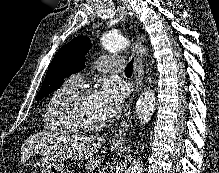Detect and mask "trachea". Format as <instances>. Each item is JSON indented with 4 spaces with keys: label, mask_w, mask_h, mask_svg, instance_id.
Listing matches in <instances>:
<instances>
[{
    "label": "trachea",
    "mask_w": 219,
    "mask_h": 173,
    "mask_svg": "<svg viewBox=\"0 0 219 173\" xmlns=\"http://www.w3.org/2000/svg\"><path fill=\"white\" fill-rule=\"evenodd\" d=\"M133 63H134V60L132 59L128 63L127 67L125 68V74H130L131 75L133 73Z\"/></svg>",
    "instance_id": "1"
}]
</instances>
